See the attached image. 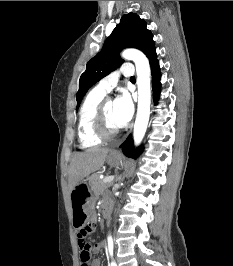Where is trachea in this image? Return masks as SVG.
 <instances>
[{"label": "trachea", "mask_w": 233, "mask_h": 266, "mask_svg": "<svg viewBox=\"0 0 233 266\" xmlns=\"http://www.w3.org/2000/svg\"><path fill=\"white\" fill-rule=\"evenodd\" d=\"M131 80H135V77L133 76V77H131Z\"/></svg>", "instance_id": "3493384b"}]
</instances>
